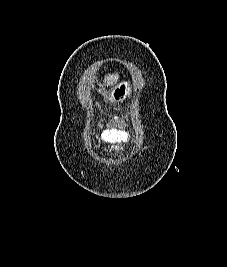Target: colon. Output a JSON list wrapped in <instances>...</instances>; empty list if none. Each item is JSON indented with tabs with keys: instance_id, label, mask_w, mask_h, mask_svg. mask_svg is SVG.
<instances>
[{
	"instance_id": "colon-1",
	"label": "colon",
	"mask_w": 227,
	"mask_h": 267,
	"mask_svg": "<svg viewBox=\"0 0 227 267\" xmlns=\"http://www.w3.org/2000/svg\"><path fill=\"white\" fill-rule=\"evenodd\" d=\"M106 118H109V115H106ZM112 129H116V126H112ZM118 129H121V126H118Z\"/></svg>"
}]
</instances>
